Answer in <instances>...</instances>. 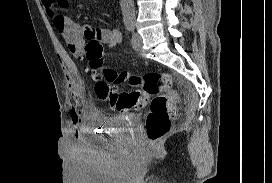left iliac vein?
Wrapping results in <instances>:
<instances>
[{
    "label": "left iliac vein",
    "instance_id": "4c4485c4",
    "mask_svg": "<svg viewBox=\"0 0 272 183\" xmlns=\"http://www.w3.org/2000/svg\"><path fill=\"white\" fill-rule=\"evenodd\" d=\"M132 47L136 51H140L142 47V38L139 34L134 33L132 37Z\"/></svg>",
    "mask_w": 272,
    "mask_h": 183
}]
</instances>
